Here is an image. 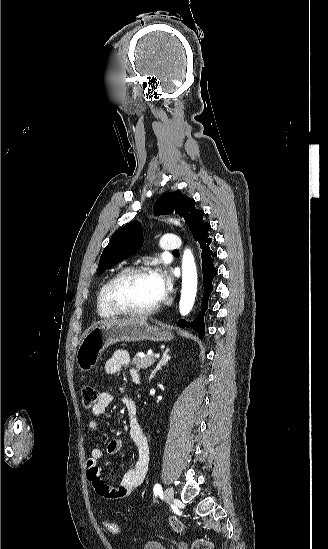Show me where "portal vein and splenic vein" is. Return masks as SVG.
<instances>
[{
	"label": "portal vein and splenic vein",
	"mask_w": 328,
	"mask_h": 549,
	"mask_svg": "<svg viewBox=\"0 0 328 549\" xmlns=\"http://www.w3.org/2000/svg\"><path fill=\"white\" fill-rule=\"evenodd\" d=\"M154 359H159V353H156Z\"/></svg>",
	"instance_id": "1"
}]
</instances>
